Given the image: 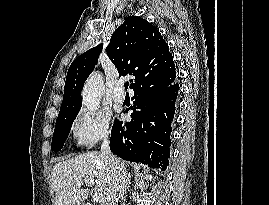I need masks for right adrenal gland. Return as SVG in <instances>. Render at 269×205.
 <instances>
[{
    "instance_id": "2a0ac1e0",
    "label": "right adrenal gland",
    "mask_w": 269,
    "mask_h": 205,
    "mask_svg": "<svg viewBox=\"0 0 269 205\" xmlns=\"http://www.w3.org/2000/svg\"><path fill=\"white\" fill-rule=\"evenodd\" d=\"M131 186V174H128V185L127 188L129 189Z\"/></svg>"
}]
</instances>
